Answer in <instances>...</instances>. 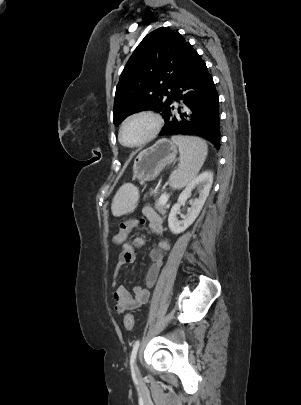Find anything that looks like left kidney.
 <instances>
[{"mask_svg":"<svg viewBox=\"0 0 301 405\" xmlns=\"http://www.w3.org/2000/svg\"><path fill=\"white\" fill-rule=\"evenodd\" d=\"M212 183L213 174L209 171L202 172L199 176L194 178L180 194L178 202L172 207L168 217V226L173 234L182 233L195 221L209 195ZM194 189H197L199 197L193 201L184 219L178 220L177 214L180 213L181 205L191 196V192Z\"/></svg>","mask_w":301,"mask_h":405,"instance_id":"5707ae66","label":"left kidney"}]
</instances>
